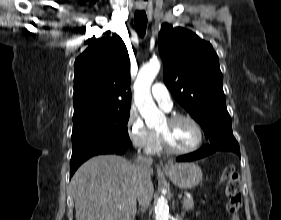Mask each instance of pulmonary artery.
<instances>
[{
    "label": "pulmonary artery",
    "mask_w": 281,
    "mask_h": 220,
    "mask_svg": "<svg viewBox=\"0 0 281 220\" xmlns=\"http://www.w3.org/2000/svg\"><path fill=\"white\" fill-rule=\"evenodd\" d=\"M152 95L156 102L166 111H170L173 102L167 87L157 82L152 86Z\"/></svg>",
    "instance_id": "1"
}]
</instances>
